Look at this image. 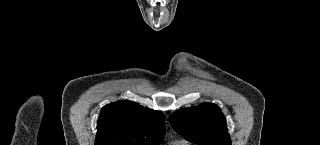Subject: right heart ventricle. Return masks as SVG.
<instances>
[{
  "instance_id": "e07e8e85",
  "label": "right heart ventricle",
  "mask_w": 320,
  "mask_h": 145,
  "mask_svg": "<svg viewBox=\"0 0 320 145\" xmlns=\"http://www.w3.org/2000/svg\"><path fill=\"white\" fill-rule=\"evenodd\" d=\"M172 145H189V143L184 139H179L174 141Z\"/></svg>"
}]
</instances>
